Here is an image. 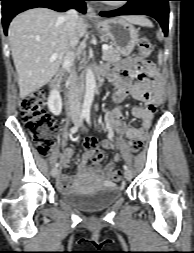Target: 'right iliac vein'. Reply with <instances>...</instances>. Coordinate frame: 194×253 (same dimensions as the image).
<instances>
[{
	"label": "right iliac vein",
	"instance_id": "1",
	"mask_svg": "<svg viewBox=\"0 0 194 253\" xmlns=\"http://www.w3.org/2000/svg\"><path fill=\"white\" fill-rule=\"evenodd\" d=\"M58 173H59V171H58L57 168H53V169L51 170V175H52V177H56V176L58 175Z\"/></svg>",
	"mask_w": 194,
	"mask_h": 253
}]
</instances>
